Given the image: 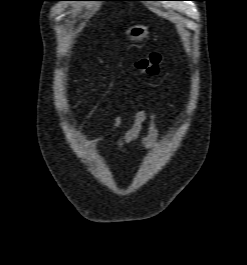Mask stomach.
I'll return each mask as SVG.
<instances>
[{
    "instance_id": "stomach-1",
    "label": "stomach",
    "mask_w": 247,
    "mask_h": 265,
    "mask_svg": "<svg viewBox=\"0 0 247 265\" xmlns=\"http://www.w3.org/2000/svg\"><path fill=\"white\" fill-rule=\"evenodd\" d=\"M148 34V27L144 25H134L125 31V35L133 41H142Z\"/></svg>"
}]
</instances>
